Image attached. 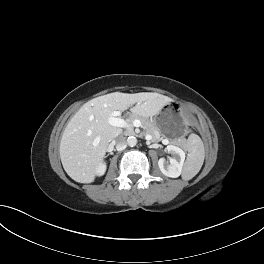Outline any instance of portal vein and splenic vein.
I'll return each mask as SVG.
<instances>
[{
  "mask_svg": "<svg viewBox=\"0 0 264 264\" xmlns=\"http://www.w3.org/2000/svg\"><path fill=\"white\" fill-rule=\"evenodd\" d=\"M120 111H113L108 118L109 124L114 127H120V128H127L129 127V124L126 120L120 118ZM141 125L140 120L134 121V126L139 127Z\"/></svg>",
  "mask_w": 264,
  "mask_h": 264,
  "instance_id": "portal-vein-and-splenic-vein-1",
  "label": "portal vein and splenic vein"
}]
</instances>
